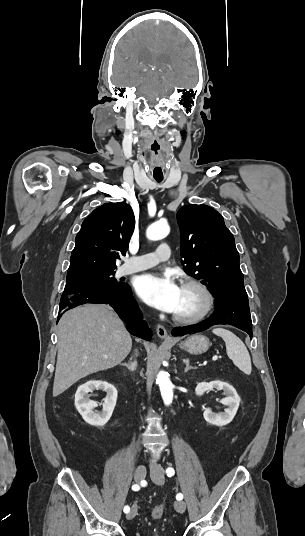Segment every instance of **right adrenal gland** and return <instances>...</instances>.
Listing matches in <instances>:
<instances>
[{
	"label": "right adrenal gland",
	"instance_id": "2a0ac1e0",
	"mask_svg": "<svg viewBox=\"0 0 305 536\" xmlns=\"http://www.w3.org/2000/svg\"><path fill=\"white\" fill-rule=\"evenodd\" d=\"M130 360H132V358H130ZM122 366H126V368L130 370V372H135L137 368V362L136 360H134V362H129V364H122Z\"/></svg>",
	"mask_w": 305,
	"mask_h": 536
}]
</instances>
